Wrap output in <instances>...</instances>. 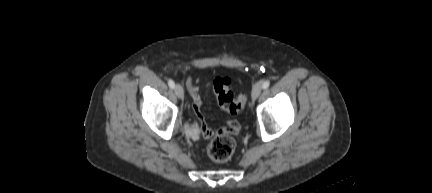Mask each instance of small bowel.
<instances>
[{
    "label": "small bowel",
    "instance_id": "1",
    "mask_svg": "<svg viewBox=\"0 0 432 193\" xmlns=\"http://www.w3.org/2000/svg\"><path fill=\"white\" fill-rule=\"evenodd\" d=\"M187 88L191 94L192 97V108L198 119L201 121V129L202 134L206 138H211L219 134L224 135H235L240 130V124L235 119L228 120L227 124L222 127L221 129L214 131L210 127H208L203 119V115L201 113V106H202V98L199 91L198 86L195 84L193 79H189L187 81Z\"/></svg>",
    "mask_w": 432,
    "mask_h": 193
}]
</instances>
